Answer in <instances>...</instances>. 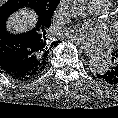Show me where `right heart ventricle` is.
<instances>
[{
    "instance_id": "e07e8e85",
    "label": "right heart ventricle",
    "mask_w": 118,
    "mask_h": 118,
    "mask_svg": "<svg viewBox=\"0 0 118 118\" xmlns=\"http://www.w3.org/2000/svg\"><path fill=\"white\" fill-rule=\"evenodd\" d=\"M90 2L97 5L102 12L107 11L112 6V0H89Z\"/></svg>"
}]
</instances>
